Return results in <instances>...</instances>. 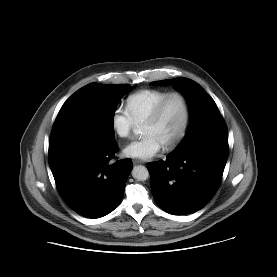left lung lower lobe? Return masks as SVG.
Instances as JSON below:
<instances>
[{"mask_svg": "<svg viewBox=\"0 0 277 277\" xmlns=\"http://www.w3.org/2000/svg\"><path fill=\"white\" fill-rule=\"evenodd\" d=\"M228 153V131L223 125L199 133L165 161L147 163L158 206L175 215L203 208L220 186Z\"/></svg>", "mask_w": 277, "mask_h": 277, "instance_id": "obj_1", "label": "left lung lower lobe"}]
</instances>
